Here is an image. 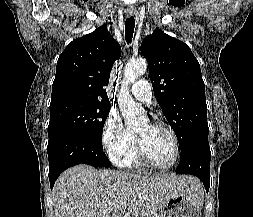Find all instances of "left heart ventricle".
I'll return each instance as SVG.
<instances>
[{
    "label": "left heart ventricle",
    "mask_w": 253,
    "mask_h": 217,
    "mask_svg": "<svg viewBox=\"0 0 253 217\" xmlns=\"http://www.w3.org/2000/svg\"><path fill=\"white\" fill-rule=\"evenodd\" d=\"M143 149L151 161L158 165L169 164L174 155V145L169 133L145 122L136 129Z\"/></svg>",
    "instance_id": "b2bd125f"
}]
</instances>
